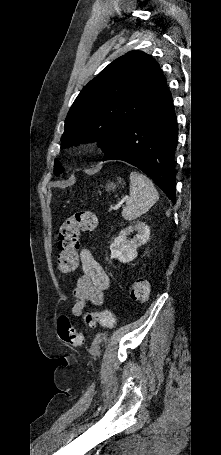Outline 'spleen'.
Returning a JSON list of instances; mask_svg holds the SVG:
<instances>
[{
  "instance_id": "spleen-1",
  "label": "spleen",
  "mask_w": 221,
  "mask_h": 455,
  "mask_svg": "<svg viewBox=\"0 0 221 455\" xmlns=\"http://www.w3.org/2000/svg\"><path fill=\"white\" fill-rule=\"evenodd\" d=\"M159 199L153 182L145 175L133 171L130 173V197L122 210L125 220H135L146 213Z\"/></svg>"
}]
</instances>
